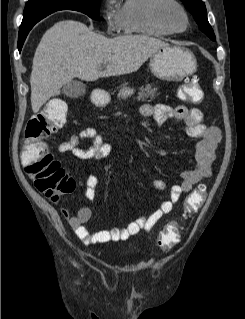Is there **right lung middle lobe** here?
<instances>
[{
	"label": "right lung middle lobe",
	"instance_id": "1",
	"mask_svg": "<svg viewBox=\"0 0 245 319\" xmlns=\"http://www.w3.org/2000/svg\"><path fill=\"white\" fill-rule=\"evenodd\" d=\"M71 9L83 12L94 20L99 19L100 0H29L26 3L20 28L27 27L31 15L37 10Z\"/></svg>",
	"mask_w": 245,
	"mask_h": 319
}]
</instances>
